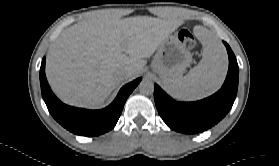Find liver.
Listing matches in <instances>:
<instances>
[{
  "instance_id": "obj_1",
  "label": "liver",
  "mask_w": 279,
  "mask_h": 166,
  "mask_svg": "<svg viewBox=\"0 0 279 166\" xmlns=\"http://www.w3.org/2000/svg\"><path fill=\"white\" fill-rule=\"evenodd\" d=\"M182 21L173 12L165 18L97 14L65 29L52 44L46 77L64 102L87 108L103 105L121 83L117 72L139 74L159 45ZM127 78V79H128Z\"/></svg>"
}]
</instances>
